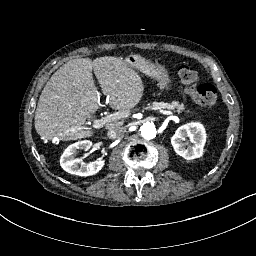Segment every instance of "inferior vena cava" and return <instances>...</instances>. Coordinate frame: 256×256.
<instances>
[{
    "instance_id": "602c4592",
    "label": "inferior vena cava",
    "mask_w": 256,
    "mask_h": 256,
    "mask_svg": "<svg viewBox=\"0 0 256 256\" xmlns=\"http://www.w3.org/2000/svg\"><path fill=\"white\" fill-rule=\"evenodd\" d=\"M126 133L125 127H114L112 129H109L107 132V136L110 139H117L120 136H123Z\"/></svg>"
}]
</instances>
